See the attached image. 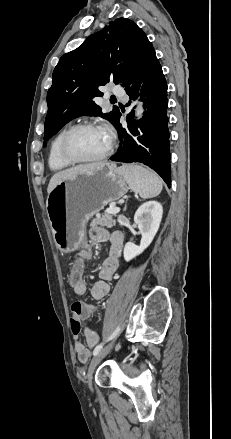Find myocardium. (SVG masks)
<instances>
[{"instance_id":"1","label":"myocardium","mask_w":231,"mask_h":439,"mask_svg":"<svg viewBox=\"0 0 231 439\" xmlns=\"http://www.w3.org/2000/svg\"><path fill=\"white\" fill-rule=\"evenodd\" d=\"M85 129H103L105 130V127L94 122H83L79 123L77 125H74L66 130V132L61 137L60 143H59V152L61 157L67 161L70 164H85V163H95L104 160L107 158L113 151L114 148V137L112 134L109 135V144L106 150L92 158H79L73 154V152L70 149V141L72 137L79 131L85 130Z\"/></svg>"}]
</instances>
